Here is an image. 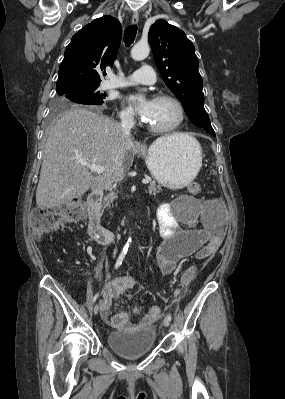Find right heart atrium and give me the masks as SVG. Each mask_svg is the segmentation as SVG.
Wrapping results in <instances>:
<instances>
[{"label":"right heart atrium","instance_id":"1","mask_svg":"<svg viewBox=\"0 0 285 399\" xmlns=\"http://www.w3.org/2000/svg\"><path fill=\"white\" fill-rule=\"evenodd\" d=\"M120 116L123 120L132 121L134 119L133 109L130 107H125L122 109Z\"/></svg>","mask_w":285,"mask_h":399}]
</instances>
